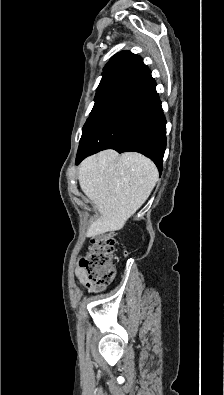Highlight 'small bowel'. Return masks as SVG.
I'll use <instances>...</instances> for the list:
<instances>
[{
	"label": "small bowel",
	"instance_id": "1",
	"mask_svg": "<svg viewBox=\"0 0 224 395\" xmlns=\"http://www.w3.org/2000/svg\"><path fill=\"white\" fill-rule=\"evenodd\" d=\"M75 277L78 285L84 291L96 292L103 290L108 286V284H97L90 280L82 266L75 269Z\"/></svg>",
	"mask_w": 224,
	"mask_h": 395
}]
</instances>
